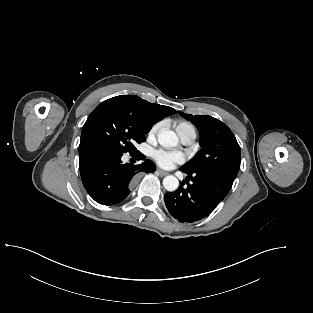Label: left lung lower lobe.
<instances>
[{"instance_id":"1","label":"left lung lower lobe","mask_w":313,"mask_h":313,"mask_svg":"<svg viewBox=\"0 0 313 313\" xmlns=\"http://www.w3.org/2000/svg\"><path fill=\"white\" fill-rule=\"evenodd\" d=\"M180 187L164 196L170 214L180 222H195L209 215L230 191L236 177L221 172L188 173Z\"/></svg>"}]
</instances>
